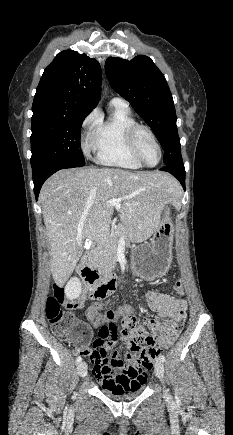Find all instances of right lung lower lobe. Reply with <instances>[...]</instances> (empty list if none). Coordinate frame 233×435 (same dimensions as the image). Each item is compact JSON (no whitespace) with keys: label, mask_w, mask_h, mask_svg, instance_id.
Masks as SVG:
<instances>
[{"label":"right lung lower lobe","mask_w":233,"mask_h":435,"mask_svg":"<svg viewBox=\"0 0 233 435\" xmlns=\"http://www.w3.org/2000/svg\"><path fill=\"white\" fill-rule=\"evenodd\" d=\"M73 167L75 166L60 161L46 162L36 167H33L32 168L33 182H34V193L36 196V200L38 199L40 189L47 178H49L52 174H54L58 170L65 169V168H73Z\"/></svg>","instance_id":"right-lung-lower-lobe-1"}]
</instances>
